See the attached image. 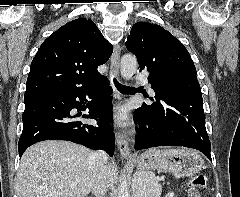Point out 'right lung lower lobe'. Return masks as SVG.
Returning a JSON list of instances; mask_svg holds the SVG:
<instances>
[{
    "instance_id": "obj_1",
    "label": "right lung lower lobe",
    "mask_w": 240,
    "mask_h": 197,
    "mask_svg": "<svg viewBox=\"0 0 240 197\" xmlns=\"http://www.w3.org/2000/svg\"><path fill=\"white\" fill-rule=\"evenodd\" d=\"M112 88L104 78L84 89H57L25 98L22 114L23 131L19 139V156L34 143L44 140H67L90 149H104L110 156L114 153L112 121ZM86 97L92 99L86 104ZM89 109L83 118L98 119V125L84 124L72 115V109Z\"/></svg>"
}]
</instances>
